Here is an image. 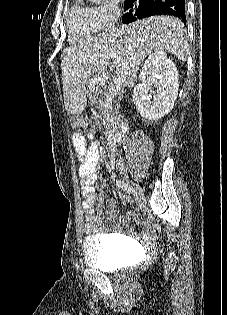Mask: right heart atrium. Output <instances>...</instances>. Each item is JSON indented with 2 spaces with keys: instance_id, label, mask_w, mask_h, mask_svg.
I'll list each match as a JSON object with an SVG mask.
<instances>
[{
  "instance_id": "1",
  "label": "right heart atrium",
  "mask_w": 227,
  "mask_h": 315,
  "mask_svg": "<svg viewBox=\"0 0 227 315\" xmlns=\"http://www.w3.org/2000/svg\"><path fill=\"white\" fill-rule=\"evenodd\" d=\"M92 10L100 30L112 25L118 19L121 11L118 0H103Z\"/></svg>"
}]
</instances>
